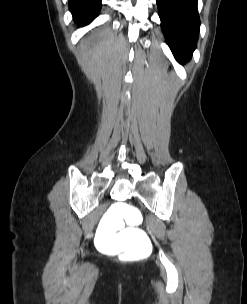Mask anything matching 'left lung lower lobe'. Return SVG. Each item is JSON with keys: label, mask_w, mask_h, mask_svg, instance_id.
Wrapping results in <instances>:
<instances>
[{"label": "left lung lower lobe", "mask_w": 247, "mask_h": 304, "mask_svg": "<svg viewBox=\"0 0 247 304\" xmlns=\"http://www.w3.org/2000/svg\"><path fill=\"white\" fill-rule=\"evenodd\" d=\"M161 28L176 60L187 62L196 48L200 19L198 0H156Z\"/></svg>", "instance_id": "1"}]
</instances>
